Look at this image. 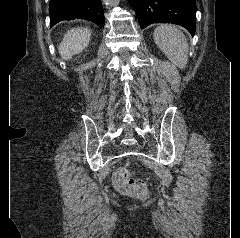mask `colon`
I'll use <instances>...</instances> for the list:
<instances>
[{"mask_svg": "<svg viewBox=\"0 0 240 238\" xmlns=\"http://www.w3.org/2000/svg\"><path fill=\"white\" fill-rule=\"evenodd\" d=\"M113 183L118 191L129 197L142 199L148 194L146 184L142 180L132 178L124 167L116 170Z\"/></svg>", "mask_w": 240, "mask_h": 238, "instance_id": "obj_1", "label": "colon"}]
</instances>
